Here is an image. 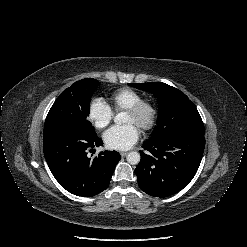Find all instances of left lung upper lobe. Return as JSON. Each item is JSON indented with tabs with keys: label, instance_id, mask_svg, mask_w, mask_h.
I'll return each mask as SVG.
<instances>
[{
	"label": "left lung upper lobe",
	"instance_id": "5c2ea615",
	"mask_svg": "<svg viewBox=\"0 0 247 247\" xmlns=\"http://www.w3.org/2000/svg\"><path fill=\"white\" fill-rule=\"evenodd\" d=\"M129 85L150 92L158 99V125L149 140L157 141L176 134H205L204 124L196 106L180 90L162 82Z\"/></svg>",
	"mask_w": 247,
	"mask_h": 247
}]
</instances>
